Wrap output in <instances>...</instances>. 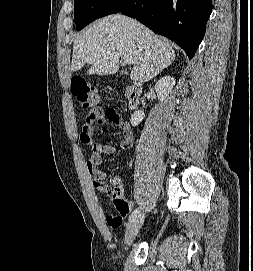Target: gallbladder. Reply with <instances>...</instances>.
<instances>
[{"instance_id":"bac80fb5","label":"gallbladder","mask_w":253,"mask_h":271,"mask_svg":"<svg viewBox=\"0 0 253 271\" xmlns=\"http://www.w3.org/2000/svg\"><path fill=\"white\" fill-rule=\"evenodd\" d=\"M122 74L126 75V74H127V72H126V71H124V72H122Z\"/></svg>"}]
</instances>
